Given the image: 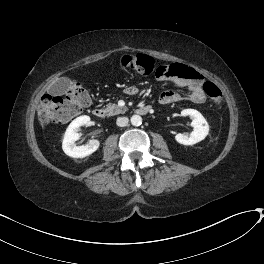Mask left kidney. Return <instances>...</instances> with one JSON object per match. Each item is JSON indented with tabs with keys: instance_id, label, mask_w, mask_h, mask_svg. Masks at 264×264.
I'll use <instances>...</instances> for the list:
<instances>
[{
	"instance_id": "left-kidney-1",
	"label": "left kidney",
	"mask_w": 264,
	"mask_h": 264,
	"mask_svg": "<svg viewBox=\"0 0 264 264\" xmlns=\"http://www.w3.org/2000/svg\"><path fill=\"white\" fill-rule=\"evenodd\" d=\"M182 116H190L192 118L191 126L192 133L188 136L186 134H176L175 140L183 145H193L202 141L209 133V125L202 114L195 109H184L181 111Z\"/></svg>"
}]
</instances>
